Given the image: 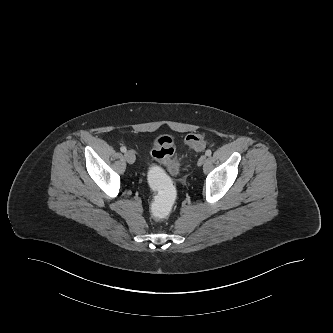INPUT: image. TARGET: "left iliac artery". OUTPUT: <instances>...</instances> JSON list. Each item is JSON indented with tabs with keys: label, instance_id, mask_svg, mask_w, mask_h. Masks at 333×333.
<instances>
[{
	"label": "left iliac artery",
	"instance_id": "obj_1",
	"mask_svg": "<svg viewBox=\"0 0 333 333\" xmlns=\"http://www.w3.org/2000/svg\"><path fill=\"white\" fill-rule=\"evenodd\" d=\"M211 154H212V151H211V150H209V149L206 150V152H205V155H206V156H210Z\"/></svg>",
	"mask_w": 333,
	"mask_h": 333
}]
</instances>
